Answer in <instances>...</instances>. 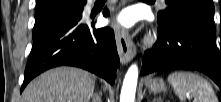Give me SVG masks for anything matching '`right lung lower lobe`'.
Listing matches in <instances>:
<instances>
[{
	"mask_svg": "<svg viewBox=\"0 0 221 102\" xmlns=\"http://www.w3.org/2000/svg\"><path fill=\"white\" fill-rule=\"evenodd\" d=\"M108 15L105 10L104 16ZM81 19L82 10L33 37L21 92L35 76L61 65L81 67L114 83L119 63L114 31L109 27L96 30L94 22L86 24Z\"/></svg>",
	"mask_w": 221,
	"mask_h": 102,
	"instance_id": "obj_1",
	"label": "right lung lower lobe"
}]
</instances>
